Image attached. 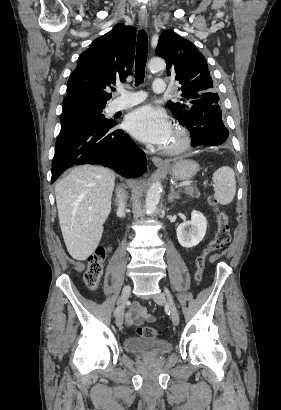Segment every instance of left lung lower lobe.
<instances>
[{"label": "left lung lower lobe", "instance_id": "left-lung-lower-lobe-1", "mask_svg": "<svg viewBox=\"0 0 281 410\" xmlns=\"http://www.w3.org/2000/svg\"><path fill=\"white\" fill-rule=\"evenodd\" d=\"M191 132L192 146H217L226 141L228 129L222 121L219 103H195L190 107L186 120L181 124Z\"/></svg>", "mask_w": 281, "mask_h": 410}]
</instances>
